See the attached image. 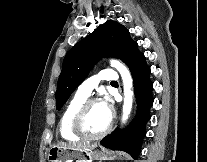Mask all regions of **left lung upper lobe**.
Returning a JSON list of instances; mask_svg holds the SVG:
<instances>
[{
  "mask_svg": "<svg viewBox=\"0 0 207 162\" xmlns=\"http://www.w3.org/2000/svg\"><path fill=\"white\" fill-rule=\"evenodd\" d=\"M138 45L128 30L108 20L76 43L64 58L56 92V109L60 110L75 88L85 79L101 57H115L129 65L139 54Z\"/></svg>",
  "mask_w": 207,
  "mask_h": 162,
  "instance_id": "5c2ea615",
  "label": "left lung upper lobe"
}]
</instances>
